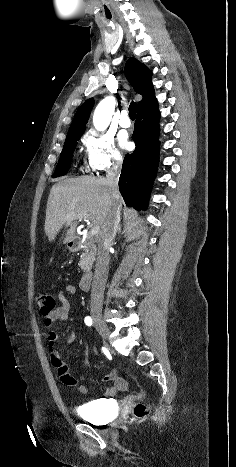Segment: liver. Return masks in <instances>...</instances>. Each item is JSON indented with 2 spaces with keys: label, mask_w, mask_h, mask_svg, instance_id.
<instances>
[{
  "label": "liver",
  "mask_w": 236,
  "mask_h": 467,
  "mask_svg": "<svg viewBox=\"0 0 236 467\" xmlns=\"http://www.w3.org/2000/svg\"><path fill=\"white\" fill-rule=\"evenodd\" d=\"M114 205L121 207L122 198H113L106 178H68L58 182L48 197L45 233L52 242L66 225L69 227L63 241L66 244L76 238L80 218L89 216L92 224L102 227Z\"/></svg>",
  "instance_id": "liver-1"
}]
</instances>
